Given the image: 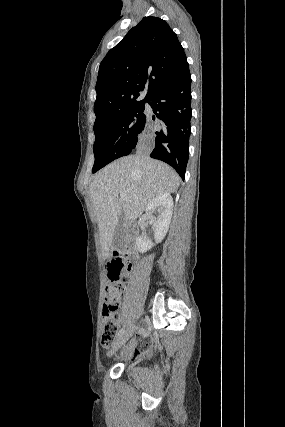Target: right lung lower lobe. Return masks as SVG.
I'll return each mask as SVG.
<instances>
[{"label": "right lung lower lobe", "instance_id": "obj_1", "mask_svg": "<svg viewBox=\"0 0 285 427\" xmlns=\"http://www.w3.org/2000/svg\"><path fill=\"white\" fill-rule=\"evenodd\" d=\"M149 103L157 116V128L150 156L171 165L185 178L189 158L191 134V75L187 72L179 81L157 92ZM152 119H155L153 117ZM151 118L147 116L143 132L146 133Z\"/></svg>", "mask_w": 285, "mask_h": 427}]
</instances>
